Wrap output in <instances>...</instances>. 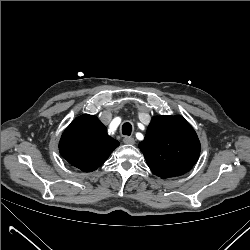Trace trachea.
<instances>
[{
    "mask_svg": "<svg viewBox=\"0 0 250 250\" xmlns=\"http://www.w3.org/2000/svg\"><path fill=\"white\" fill-rule=\"evenodd\" d=\"M132 132V125L130 123H124L122 125V134L129 136Z\"/></svg>",
    "mask_w": 250,
    "mask_h": 250,
    "instance_id": "1",
    "label": "trachea"
}]
</instances>
